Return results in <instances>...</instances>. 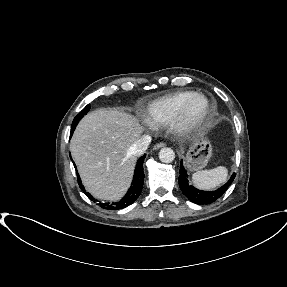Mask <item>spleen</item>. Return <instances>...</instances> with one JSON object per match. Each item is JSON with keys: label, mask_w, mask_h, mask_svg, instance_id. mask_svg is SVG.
<instances>
[{"label": "spleen", "mask_w": 287, "mask_h": 287, "mask_svg": "<svg viewBox=\"0 0 287 287\" xmlns=\"http://www.w3.org/2000/svg\"><path fill=\"white\" fill-rule=\"evenodd\" d=\"M228 170L224 166H218L210 170H200L192 175L195 186L203 190H211L227 179Z\"/></svg>", "instance_id": "spleen-1"}]
</instances>
